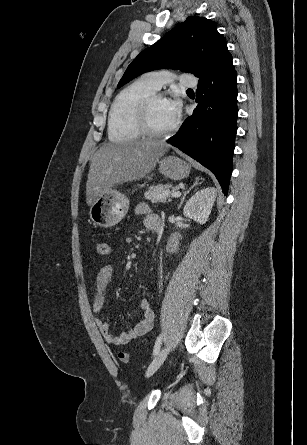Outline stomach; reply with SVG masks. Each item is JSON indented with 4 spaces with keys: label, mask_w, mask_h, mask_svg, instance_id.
<instances>
[{
    "label": "stomach",
    "mask_w": 307,
    "mask_h": 445,
    "mask_svg": "<svg viewBox=\"0 0 307 445\" xmlns=\"http://www.w3.org/2000/svg\"><path fill=\"white\" fill-rule=\"evenodd\" d=\"M159 170L162 174H166L173 180H180L185 178L190 172V166L177 158V156H165L159 160ZM129 198L120 190H110L106 194H101L96 198L95 202L91 204L89 214L94 225L103 227V229H111L120 223L129 210Z\"/></svg>",
    "instance_id": "0dacf381"
}]
</instances>
